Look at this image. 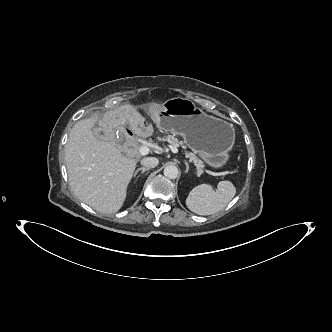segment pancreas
Masks as SVG:
<instances>
[{"label": "pancreas", "instance_id": "1", "mask_svg": "<svg viewBox=\"0 0 332 332\" xmlns=\"http://www.w3.org/2000/svg\"><path fill=\"white\" fill-rule=\"evenodd\" d=\"M159 141H167L171 144H173L174 146H177L180 142L178 141L177 138H175L173 135H167L163 138H158ZM186 155H188V157L190 158L191 161H193L196 166L198 167V169H201L204 167L202 161L200 159H198L194 153H188L186 152Z\"/></svg>", "mask_w": 332, "mask_h": 332}]
</instances>
